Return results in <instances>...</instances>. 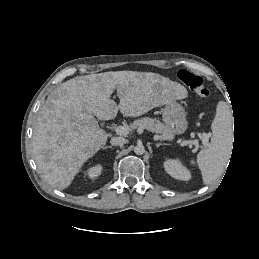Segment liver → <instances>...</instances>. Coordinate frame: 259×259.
<instances>
[{"mask_svg": "<svg viewBox=\"0 0 259 259\" xmlns=\"http://www.w3.org/2000/svg\"><path fill=\"white\" fill-rule=\"evenodd\" d=\"M114 90L118 105L111 99ZM184 97L181 84L152 72H104L70 79L48 96L39 111L32 137L37 168L49 185L64 190L106 144L108 134L96 118L114 119L118 110L126 117H138Z\"/></svg>", "mask_w": 259, "mask_h": 259, "instance_id": "liver-1", "label": "liver"}]
</instances>
